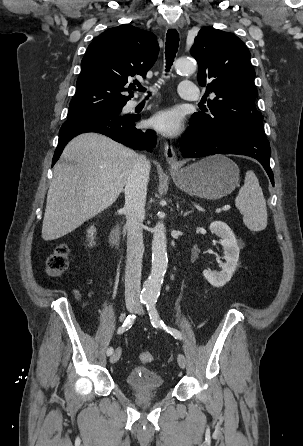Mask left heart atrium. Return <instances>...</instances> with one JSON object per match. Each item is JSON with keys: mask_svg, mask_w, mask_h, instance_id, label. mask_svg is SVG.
<instances>
[{"mask_svg": "<svg viewBox=\"0 0 303 446\" xmlns=\"http://www.w3.org/2000/svg\"><path fill=\"white\" fill-rule=\"evenodd\" d=\"M150 125L167 136H175L182 130V116L176 109H166L150 119Z\"/></svg>", "mask_w": 303, "mask_h": 446, "instance_id": "1", "label": "left heart atrium"}]
</instances>
